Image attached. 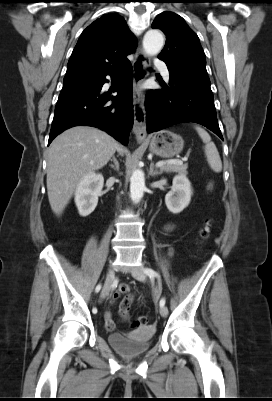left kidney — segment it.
<instances>
[{"instance_id": "1", "label": "left kidney", "mask_w": 272, "mask_h": 401, "mask_svg": "<svg viewBox=\"0 0 272 401\" xmlns=\"http://www.w3.org/2000/svg\"><path fill=\"white\" fill-rule=\"evenodd\" d=\"M192 188L188 178L181 174L173 178L171 190L165 196V204L170 212L178 214L191 200Z\"/></svg>"}]
</instances>
